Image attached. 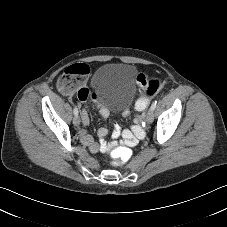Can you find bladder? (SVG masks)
Segmentation results:
<instances>
[{"label":"bladder","instance_id":"obj_1","mask_svg":"<svg viewBox=\"0 0 227 227\" xmlns=\"http://www.w3.org/2000/svg\"><path fill=\"white\" fill-rule=\"evenodd\" d=\"M136 67L130 64L109 63L98 68L93 78L92 97L109 109L112 102L126 108L136 92ZM103 94L108 95L104 98Z\"/></svg>","mask_w":227,"mask_h":227}]
</instances>
